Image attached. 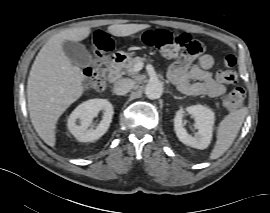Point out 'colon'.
I'll use <instances>...</instances> for the list:
<instances>
[{
  "mask_svg": "<svg viewBox=\"0 0 270 213\" xmlns=\"http://www.w3.org/2000/svg\"><path fill=\"white\" fill-rule=\"evenodd\" d=\"M93 49V62L86 72V81L93 89H103L105 85V73L108 66V52L112 49L110 35L103 31H95L90 39ZM143 42L149 47L157 48L160 52L176 56L180 52L186 55H195L202 49L200 39L193 38L188 33L175 34L165 29L147 30L143 34ZM225 69L219 72V77L226 83L232 84L237 80V73L232 69L235 65L234 55L224 58ZM244 91L241 87H235L221 100L226 110L236 109L242 101Z\"/></svg>",
  "mask_w": 270,
  "mask_h": 213,
  "instance_id": "colon-1",
  "label": "colon"
}]
</instances>
